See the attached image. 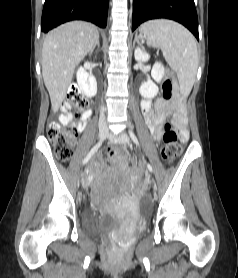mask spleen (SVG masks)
Returning <instances> with one entry per match:
<instances>
[{
    "label": "spleen",
    "mask_w": 238,
    "mask_h": 278,
    "mask_svg": "<svg viewBox=\"0 0 238 278\" xmlns=\"http://www.w3.org/2000/svg\"><path fill=\"white\" fill-rule=\"evenodd\" d=\"M140 30L148 45L161 49L169 66L177 72L181 92L188 95L198 68L194 36L182 25L164 19L148 21Z\"/></svg>",
    "instance_id": "1"
}]
</instances>
